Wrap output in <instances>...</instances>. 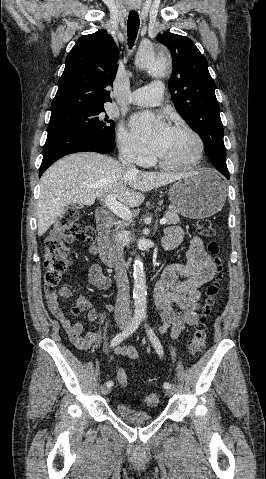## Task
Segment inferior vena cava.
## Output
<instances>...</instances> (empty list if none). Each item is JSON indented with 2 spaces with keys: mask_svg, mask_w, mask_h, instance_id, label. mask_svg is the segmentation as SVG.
Returning a JSON list of instances; mask_svg holds the SVG:
<instances>
[{
  "mask_svg": "<svg viewBox=\"0 0 266 479\" xmlns=\"http://www.w3.org/2000/svg\"><path fill=\"white\" fill-rule=\"evenodd\" d=\"M119 160L126 165L131 172H138L136 167L133 165V158L125 150L121 151ZM123 248L124 244L122 242V235L118 233L112 238V251L115 263V280L117 283V299L115 304L116 320H129L131 318L130 287L127 271L125 268Z\"/></svg>",
  "mask_w": 266,
  "mask_h": 479,
  "instance_id": "602c4592",
  "label": "inferior vena cava"
}]
</instances>
